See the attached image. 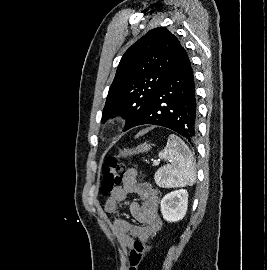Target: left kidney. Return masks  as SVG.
Segmentation results:
<instances>
[{"instance_id": "5707ae66", "label": "left kidney", "mask_w": 267, "mask_h": 270, "mask_svg": "<svg viewBox=\"0 0 267 270\" xmlns=\"http://www.w3.org/2000/svg\"><path fill=\"white\" fill-rule=\"evenodd\" d=\"M188 207V192L179 189L166 194L161 200V213L168 222H177L186 215Z\"/></svg>"}]
</instances>
